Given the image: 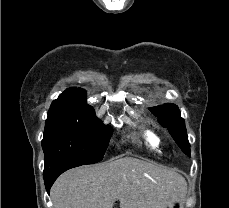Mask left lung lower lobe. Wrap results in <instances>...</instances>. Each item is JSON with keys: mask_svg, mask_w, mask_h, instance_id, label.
Wrapping results in <instances>:
<instances>
[{"mask_svg": "<svg viewBox=\"0 0 229 208\" xmlns=\"http://www.w3.org/2000/svg\"><path fill=\"white\" fill-rule=\"evenodd\" d=\"M187 156H189L190 157V150H188V151H186V152H184Z\"/></svg>", "mask_w": 229, "mask_h": 208, "instance_id": "0a47b994", "label": "left lung lower lobe"}]
</instances>
